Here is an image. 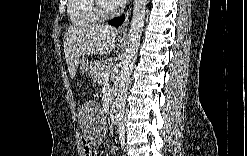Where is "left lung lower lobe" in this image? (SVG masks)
<instances>
[{
  "label": "left lung lower lobe",
  "mask_w": 247,
  "mask_h": 156,
  "mask_svg": "<svg viewBox=\"0 0 247 156\" xmlns=\"http://www.w3.org/2000/svg\"><path fill=\"white\" fill-rule=\"evenodd\" d=\"M124 20H125V15L109 21L108 24L115 26V27H118L124 22Z\"/></svg>",
  "instance_id": "0a47b994"
}]
</instances>
